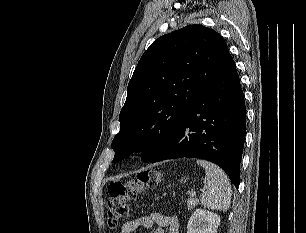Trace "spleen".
<instances>
[{"instance_id":"spleen-1","label":"spleen","mask_w":306,"mask_h":233,"mask_svg":"<svg viewBox=\"0 0 306 233\" xmlns=\"http://www.w3.org/2000/svg\"><path fill=\"white\" fill-rule=\"evenodd\" d=\"M197 164L205 169L204 188L200 202L204 207L227 211L230 207L232 190L226 173L215 164L197 160Z\"/></svg>"}]
</instances>
